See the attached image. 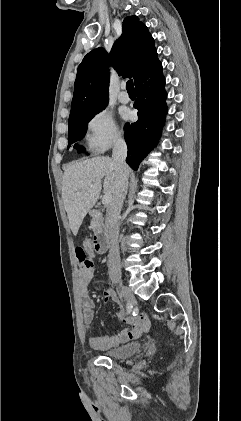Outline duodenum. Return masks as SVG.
Here are the masks:
<instances>
[{
    "label": "duodenum",
    "instance_id": "duodenum-1",
    "mask_svg": "<svg viewBox=\"0 0 241 421\" xmlns=\"http://www.w3.org/2000/svg\"><path fill=\"white\" fill-rule=\"evenodd\" d=\"M89 216L95 222L93 245L96 248L97 253L103 254L109 247V232L104 224L103 215L98 210H91Z\"/></svg>",
    "mask_w": 241,
    "mask_h": 421
}]
</instances>
